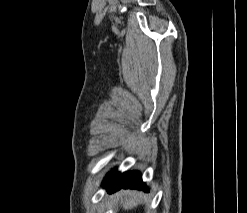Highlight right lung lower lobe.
Listing matches in <instances>:
<instances>
[{"label": "right lung lower lobe", "mask_w": 247, "mask_h": 213, "mask_svg": "<svg viewBox=\"0 0 247 213\" xmlns=\"http://www.w3.org/2000/svg\"><path fill=\"white\" fill-rule=\"evenodd\" d=\"M105 182L107 183V191L109 193L122 188H136L139 190L149 191L146 185L142 182L141 175L138 171H131L123 174L113 171L107 175Z\"/></svg>", "instance_id": "98d812e1"}]
</instances>
